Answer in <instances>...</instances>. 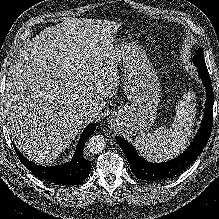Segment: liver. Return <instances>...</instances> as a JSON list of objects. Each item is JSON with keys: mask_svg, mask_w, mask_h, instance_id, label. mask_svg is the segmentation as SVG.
Listing matches in <instances>:
<instances>
[{"mask_svg": "<svg viewBox=\"0 0 219 219\" xmlns=\"http://www.w3.org/2000/svg\"><path fill=\"white\" fill-rule=\"evenodd\" d=\"M117 22L66 19L34 37L12 63L3 97L17 148L48 163L70 146L82 123L81 109L97 114L117 93L112 52Z\"/></svg>", "mask_w": 219, "mask_h": 219, "instance_id": "obj_1", "label": "liver"}]
</instances>
